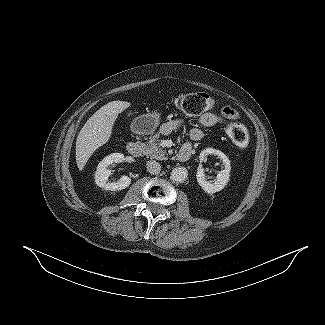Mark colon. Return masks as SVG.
I'll return each mask as SVG.
<instances>
[{"instance_id":"colon-1","label":"colon","mask_w":325,"mask_h":325,"mask_svg":"<svg viewBox=\"0 0 325 325\" xmlns=\"http://www.w3.org/2000/svg\"><path fill=\"white\" fill-rule=\"evenodd\" d=\"M214 103V99L203 92L181 94L172 101V105L187 116L200 115L210 110ZM227 134L237 148L245 149L248 146V133L240 122L230 120L227 126Z\"/></svg>"}]
</instances>
